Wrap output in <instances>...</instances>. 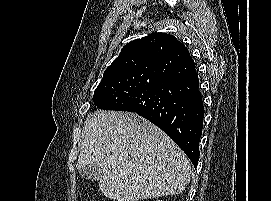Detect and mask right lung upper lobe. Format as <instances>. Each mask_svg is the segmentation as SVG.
I'll return each instance as SVG.
<instances>
[{
	"label": "right lung upper lobe",
	"mask_w": 271,
	"mask_h": 201,
	"mask_svg": "<svg viewBox=\"0 0 271 201\" xmlns=\"http://www.w3.org/2000/svg\"><path fill=\"white\" fill-rule=\"evenodd\" d=\"M179 44L174 36L166 33L150 34L131 41L122 48L118 58L105 70L103 77L131 70L151 69Z\"/></svg>",
	"instance_id": "right-lung-upper-lobe-1"
}]
</instances>
